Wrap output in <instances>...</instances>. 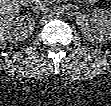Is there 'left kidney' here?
<instances>
[{"label": "left kidney", "mask_w": 111, "mask_h": 106, "mask_svg": "<svg viewBox=\"0 0 111 106\" xmlns=\"http://www.w3.org/2000/svg\"><path fill=\"white\" fill-rule=\"evenodd\" d=\"M92 22L90 26L88 21ZM77 25L82 35L90 42L102 43L111 40V13L104 9L95 10L92 15L77 17Z\"/></svg>", "instance_id": "5707ae66"}]
</instances>
